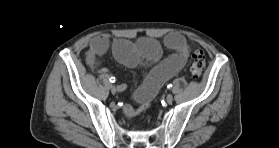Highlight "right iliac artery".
<instances>
[{"instance_id": "1", "label": "right iliac artery", "mask_w": 279, "mask_h": 148, "mask_svg": "<svg viewBox=\"0 0 279 148\" xmlns=\"http://www.w3.org/2000/svg\"><path fill=\"white\" fill-rule=\"evenodd\" d=\"M109 80H110L111 83H114L116 81V78L115 77H110ZM125 89H126V86H122L121 91H123Z\"/></svg>"}]
</instances>
